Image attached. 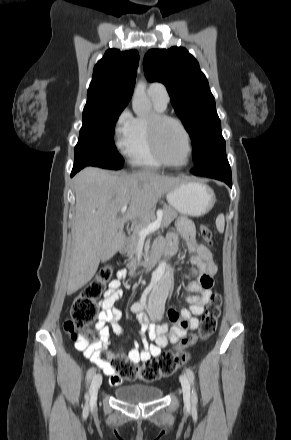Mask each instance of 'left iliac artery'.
Instances as JSON below:
<instances>
[{
	"mask_svg": "<svg viewBox=\"0 0 291 440\" xmlns=\"http://www.w3.org/2000/svg\"><path fill=\"white\" fill-rule=\"evenodd\" d=\"M185 372H186V374H187V377L189 378V380H190V382L192 383V384H194V372H193V370L192 369H190V368H186L185 369ZM192 404L194 405V406H196V404H197V402H198V397H197V394H196V391H195V389L193 388V391H192Z\"/></svg>",
	"mask_w": 291,
	"mask_h": 440,
	"instance_id": "obj_1",
	"label": "left iliac artery"
}]
</instances>
